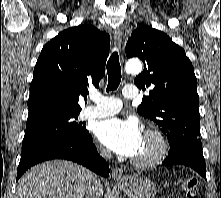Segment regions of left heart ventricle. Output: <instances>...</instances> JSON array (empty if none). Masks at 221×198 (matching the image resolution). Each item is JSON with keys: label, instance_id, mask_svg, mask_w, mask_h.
Wrapping results in <instances>:
<instances>
[{"label": "left heart ventricle", "instance_id": "b2bd125f", "mask_svg": "<svg viewBox=\"0 0 221 198\" xmlns=\"http://www.w3.org/2000/svg\"><path fill=\"white\" fill-rule=\"evenodd\" d=\"M155 149L154 141L149 138L143 136L141 145L137 152L135 153L134 157L136 158H143L149 156Z\"/></svg>", "mask_w": 221, "mask_h": 198}]
</instances>
